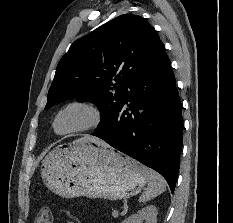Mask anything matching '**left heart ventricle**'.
Returning <instances> with one entry per match:
<instances>
[{"instance_id": "obj_1", "label": "left heart ventricle", "mask_w": 233, "mask_h": 223, "mask_svg": "<svg viewBox=\"0 0 233 223\" xmlns=\"http://www.w3.org/2000/svg\"><path fill=\"white\" fill-rule=\"evenodd\" d=\"M94 120V115L90 110L74 106L60 114L56 129L59 133L74 132L91 126Z\"/></svg>"}]
</instances>
